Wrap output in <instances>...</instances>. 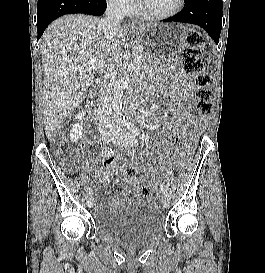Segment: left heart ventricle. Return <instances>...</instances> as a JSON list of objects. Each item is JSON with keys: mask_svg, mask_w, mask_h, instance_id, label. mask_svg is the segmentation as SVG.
<instances>
[{"mask_svg": "<svg viewBox=\"0 0 265 273\" xmlns=\"http://www.w3.org/2000/svg\"><path fill=\"white\" fill-rule=\"evenodd\" d=\"M145 8L153 13H166L173 10L178 0H143Z\"/></svg>", "mask_w": 265, "mask_h": 273, "instance_id": "b2bd125f", "label": "left heart ventricle"}]
</instances>
